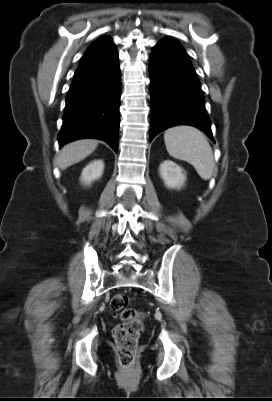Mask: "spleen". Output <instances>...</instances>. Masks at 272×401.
I'll list each match as a JSON object with an SVG mask.
<instances>
[{
	"label": "spleen",
	"mask_w": 272,
	"mask_h": 401,
	"mask_svg": "<svg viewBox=\"0 0 272 401\" xmlns=\"http://www.w3.org/2000/svg\"><path fill=\"white\" fill-rule=\"evenodd\" d=\"M164 142L170 156L192 164L203 180L212 177L214 156L201 131L189 126L173 127L164 133Z\"/></svg>",
	"instance_id": "1"
}]
</instances>
